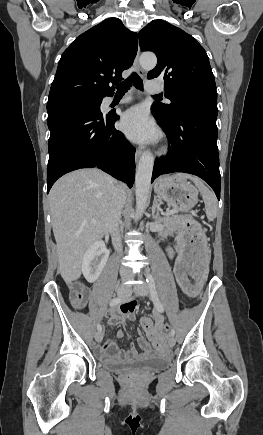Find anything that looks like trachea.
Listing matches in <instances>:
<instances>
[{
    "mask_svg": "<svg viewBox=\"0 0 263 435\" xmlns=\"http://www.w3.org/2000/svg\"><path fill=\"white\" fill-rule=\"evenodd\" d=\"M134 85L137 89L143 90V81L140 76L133 72L124 82L116 84L117 94H125ZM154 97H159L155 95Z\"/></svg>",
    "mask_w": 263,
    "mask_h": 435,
    "instance_id": "1",
    "label": "trachea"
}]
</instances>
